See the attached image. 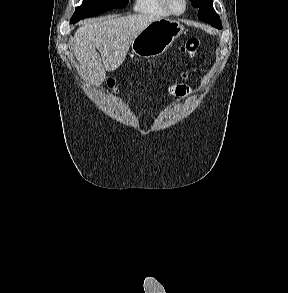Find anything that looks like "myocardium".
Wrapping results in <instances>:
<instances>
[{
	"label": "myocardium",
	"instance_id": "1",
	"mask_svg": "<svg viewBox=\"0 0 288 293\" xmlns=\"http://www.w3.org/2000/svg\"><path fill=\"white\" fill-rule=\"evenodd\" d=\"M183 1V9L181 11H175L170 3H169V0H161L163 6L165 7V9L172 15H181L183 14L186 9H187V6H188V1L187 0H182Z\"/></svg>",
	"mask_w": 288,
	"mask_h": 293
}]
</instances>
